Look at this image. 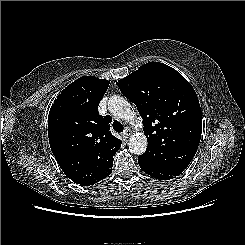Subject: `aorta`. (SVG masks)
Returning a JSON list of instances; mask_svg holds the SVG:
<instances>
[{"label": "aorta", "mask_w": 245, "mask_h": 245, "mask_svg": "<svg viewBox=\"0 0 245 245\" xmlns=\"http://www.w3.org/2000/svg\"><path fill=\"white\" fill-rule=\"evenodd\" d=\"M110 113L129 124H141V118L133 111L131 104L123 97L114 95L108 101ZM128 147L131 153L141 155L146 151L147 138L143 133L130 137Z\"/></svg>", "instance_id": "1"}]
</instances>
